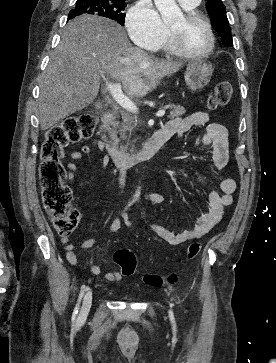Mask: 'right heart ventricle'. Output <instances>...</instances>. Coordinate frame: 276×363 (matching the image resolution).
<instances>
[{"instance_id": "obj_1", "label": "right heart ventricle", "mask_w": 276, "mask_h": 363, "mask_svg": "<svg viewBox=\"0 0 276 363\" xmlns=\"http://www.w3.org/2000/svg\"><path fill=\"white\" fill-rule=\"evenodd\" d=\"M163 46H164V48H165L167 51H169V52H171V53H174V52H173V50H172V48H171L170 40H169V38H168V37H167V38H166V40L164 41Z\"/></svg>"}]
</instances>
